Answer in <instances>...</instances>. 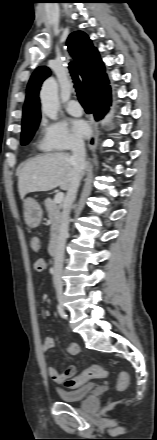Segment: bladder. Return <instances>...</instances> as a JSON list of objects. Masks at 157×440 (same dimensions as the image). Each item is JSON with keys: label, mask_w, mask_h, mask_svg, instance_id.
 Returning a JSON list of instances; mask_svg holds the SVG:
<instances>
[{"label": "bladder", "mask_w": 157, "mask_h": 440, "mask_svg": "<svg viewBox=\"0 0 157 440\" xmlns=\"http://www.w3.org/2000/svg\"><path fill=\"white\" fill-rule=\"evenodd\" d=\"M95 388V384L89 383L74 390L57 389L59 399L67 403L82 401L89 396Z\"/></svg>", "instance_id": "bladder-1"}]
</instances>
